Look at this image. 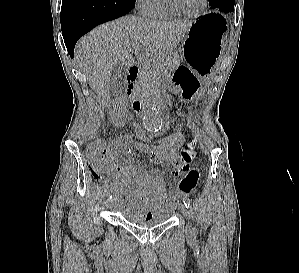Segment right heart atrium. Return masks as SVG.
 <instances>
[{"mask_svg":"<svg viewBox=\"0 0 299 273\" xmlns=\"http://www.w3.org/2000/svg\"><path fill=\"white\" fill-rule=\"evenodd\" d=\"M153 2L154 0H135L136 7L143 14L147 12Z\"/></svg>","mask_w":299,"mask_h":273,"instance_id":"right-heart-atrium-1","label":"right heart atrium"}]
</instances>
